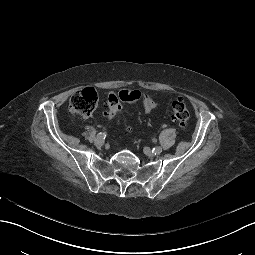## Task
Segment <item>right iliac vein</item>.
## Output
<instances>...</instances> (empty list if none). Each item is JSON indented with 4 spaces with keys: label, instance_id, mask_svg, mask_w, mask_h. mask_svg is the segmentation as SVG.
<instances>
[{
    "label": "right iliac vein",
    "instance_id": "obj_1",
    "mask_svg": "<svg viewBox=\"0 0 255 255\" xmlns=\"http://www.w3.org/2000/svg\"><path fill=\"white\" fill-rule=\"evenodd\" d=\"M95 145L97 146V147H101L102 146V140L101 139H99L98 137L95 139Z\"/></svg>",
    "mask_w": 255,
    "mask_h": 255
}]
</instances>
